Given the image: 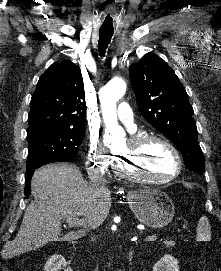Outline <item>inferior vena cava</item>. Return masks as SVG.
Returning a JSON list of instances; mask_svg holds the SVG:
<instances>
[{"mask_svg":"<svg viewBox=\"0 0 221 271\" xmlns=\"http://www.w3.org/2000/svg\"><path fill=\"white\" fill-rule=\"evenodd\" d=\"M105 183H107L105 177H98L96 181H93L92 185L99 195H102V197H109V189L108 187H105ZM93 227H96V225H93Z\"/></svg>","mask_w":221,"mask_h":271,"instance_id":"obj_1","label":"inferior vena cava"}]
</instances>
